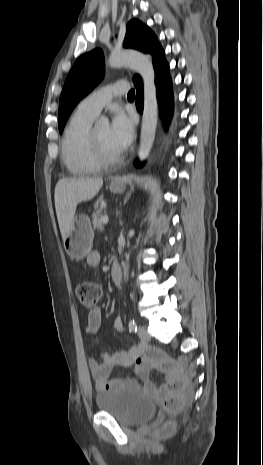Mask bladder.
<instances>
[{
  "label": "bladder",
  "mask_w": 263,
  "mask_h": 465,
  "mask_svg": "<svg viewBox=\"0 0 263 465\" xmlns=\"http://www.w3.org/2000/svg\"><path fill=\"white\" fill-rule=\"evenodd\" d=\"M99 411L114 417L123 426H136L152 419L156 413L154 402L140 391L116 387L96 395Z\"/></svg>",
  "instance_id": "bladder-1"
}]
</instances>
